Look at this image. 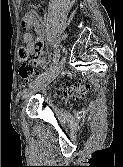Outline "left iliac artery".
<instances>
[{
    "mask_svg": "<svg viewBox=\"0 0 123 167\" xmlns=\"http://www.w3.org/2000/svg\"><path fill=\"white\" fill-rule=\"evenodd\" d=\"M59 58H60V49H56L54 51V54H53V60H52V63L50 65V67L48 68V70H46L45 72H43L42 74L38 75L36 77L35 80H33L30 84H29V87H32L37 81L41 80L45 75H47L55 66L56 64L58 63L59 61Z\"/></svg>",
    "mask_w": 123,
    "mask_h": 167,
    "instance_id": "obj_1",
    "label": "left iliac artery"
}]
</instances>
